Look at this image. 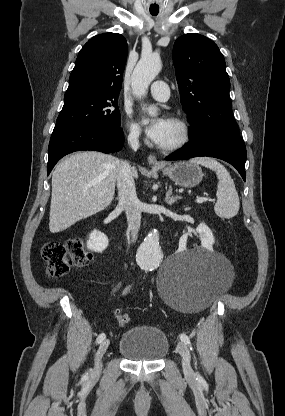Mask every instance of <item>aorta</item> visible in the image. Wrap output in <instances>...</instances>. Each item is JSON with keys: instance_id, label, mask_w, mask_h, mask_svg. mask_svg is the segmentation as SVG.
I'll use <instances>...</instances> for the list:
<instances>
[{"instance_id": "aorta-1", "label": "aorta", "mask_w": 285, "mask_h": 416, "mask_svg": "<svg viewBox=\"0 0 285 416\" xmlns=\"http://www.w3.org/2000/svg\"><path fill=\"white\" fill-rule=\"evenodd\" d=\"M161 67V60L158 56L144 55L141 57L131 77L132 92L136 97L141 98L147 93L149 85L158 75ZM146 110L153 116L157 113L156 107H149ZM161 258L159 234L156 229H153L140 245L136 261L141 269L153 270L159 266Z\"/></svg>"}]
</instances>
